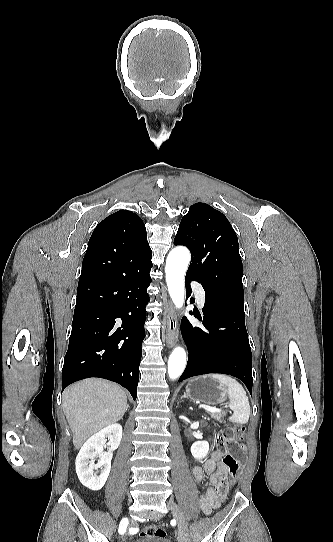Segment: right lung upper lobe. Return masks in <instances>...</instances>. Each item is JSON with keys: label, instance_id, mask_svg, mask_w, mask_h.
I'll list each match as a JSON object with an SVG mask.
<instances>
[{"label": "right lung upper lobe", "instance_id": "1", "mask_svg": "<svg viewBox=\"0 0 333 542\" xmlns=\"http://www.w3.org/2000/svg\"><path fill=\"white\" fill-rule=\"evenodd\" d=\"M126 247H149L146 228L140 217L128 210H120L97 225L87 251H116ZM82 270L80 279L96 276Z\"/></svg>", "mask_w": 333, "mask_h": 542}]
</instances>
